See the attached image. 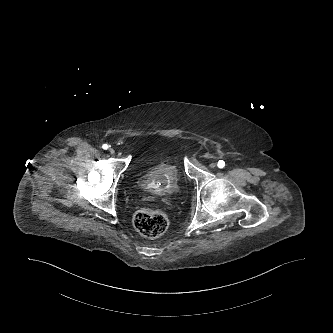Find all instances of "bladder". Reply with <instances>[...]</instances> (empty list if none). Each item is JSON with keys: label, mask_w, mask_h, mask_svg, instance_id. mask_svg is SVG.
<instances>
[{"label": "bladder", "mask_w": 333, "mask_h": 333, "mask_svg": "<svg viewBox=\"0 0 333 333\" xmlns=\"http://www.w3.org/2000/svg\"><path fill=\"white\" fill-rule=\"evenodd\" d=\"M137 186L151 194L169 196L180 189L179 171L175 162H159L147 168L136 181Z\"/></svg>", "instance_id": "obj_1"}]
</instances>
